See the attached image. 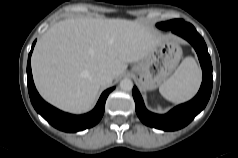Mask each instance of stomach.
<instances>
[{
	"label": "stomach",
	"mask_w": 238,
	"mask_h": 158,
	"mask_svg": "<svg viewBox=\"0 0 238 158\" xmlns=\"http://www.w3.org/2000/svg\"><path fill=\"white\" fill-rule=\"evenodd\" d=\"M182 57V49L176 39L165 36L140 62L132 72L146 90H153L164 83L172 74Z\"/></svg>",
	"instance_id": "1"
}]
</instances>
